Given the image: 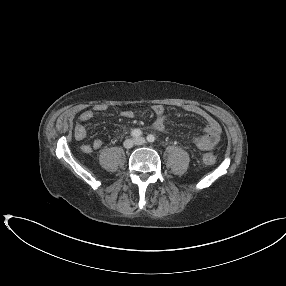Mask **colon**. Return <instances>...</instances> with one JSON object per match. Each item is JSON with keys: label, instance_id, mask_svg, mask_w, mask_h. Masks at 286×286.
<instances>
[{"label": "colon", "instance_id": "colon-1", "mask_svg": "<svg viewBox=\"0 0 286 286\" xmlns=\"http://www.w3.org/2000/svg\"><path fill=\"white\" fill-rule=\"evenodd\" d=\"M202 161L205 165H213L216 161L215 156L211 153H206L202 157Z\"/></svg>", "mask_w": 286, "mask_h": 286}]
</instances>
